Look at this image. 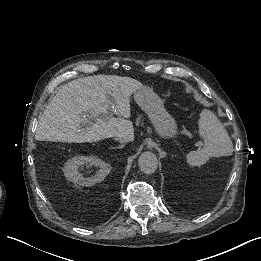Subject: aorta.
<instances>
[{
    "instance_id": "obj_1",
    "label": "aorta",
    "mask_w": 261,
    "mask_h": 261,
    "mask_svg": "<svg viewBox=\"0 0 261 261\" xmlns=\"http://www.w3.org/2000/svg\"><path fill=\"white\" fill-rule=\"evenodd\" d=\"M140 170L145 174H153L158 167V160L154 153L146 151L138 159Z\"/></svg>"
}]
</instances>
